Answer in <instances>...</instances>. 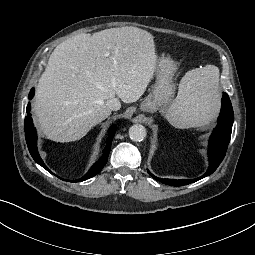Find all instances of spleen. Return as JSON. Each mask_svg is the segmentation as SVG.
<instances>
[{
	"mask_svg": "<svg viewBox=\"0 0 255 255\" xmlns=\"http://www.w3.org/2000/svg\"><path fill=\"white\" fill-rule=\"evenodd\" d=\"M219 97L218 67L206 65L190 70L181 79L178 94L165 116L176 128L204 126L216 115Z\"/></svg>",
	"mask_w": 255,
	"mask_h": 255,
	"instance_id": "3e777b00",
	"label": "spleen"
}]
</instances>
